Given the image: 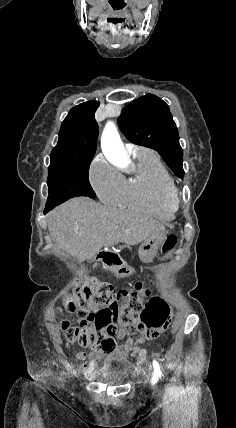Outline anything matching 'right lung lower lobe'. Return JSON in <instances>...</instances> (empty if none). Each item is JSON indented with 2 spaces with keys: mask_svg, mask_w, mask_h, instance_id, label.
Instances as JSON below:
<instances>
[{
  "mask_svg": "<svg viewBox=\"0 0 236 428\" xmlns=\"http://www.w3.org/2000/svg\"><path fill=\"white\" fill-rule=\"evenodd\" d=\"M55 206H46L45 210H44V214H46L48 211L52 210Z\"/></svg>",
  "mask_w": 236,
  "mask_h": 428,
  "instance_id": "1",
  "label": "right lung lower lobe"
}]
</instances>
